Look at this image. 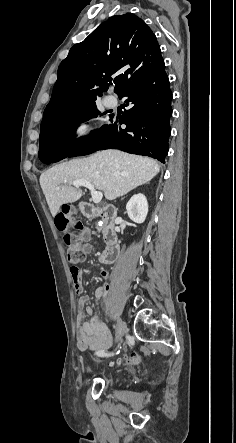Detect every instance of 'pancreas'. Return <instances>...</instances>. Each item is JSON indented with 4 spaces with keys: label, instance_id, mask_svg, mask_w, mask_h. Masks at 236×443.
Returning <instances> with one entry per match:
<instances>
[{
    "label": "pancreas",
    "instance_id": "1",
    "mask_svg": "<svg viewBox=\"0 0 236 443\" xmlns=\"http://www.w3.org/2000/svg\"><path fill=\"white\" fill-rule=\"evenodd\" d=\"M101 230V228H99ZM93 234H96V232H93Z\"/></svg>",
    "mask_w": 236,
    "mask_h": 443
}]
</instances>
